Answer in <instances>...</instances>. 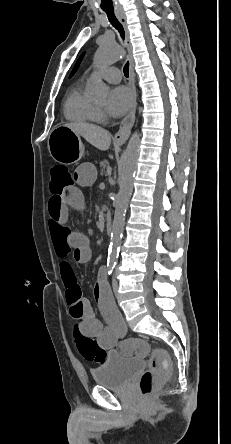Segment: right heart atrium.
I'll list each match as a JSON object with an SVG mask.
<instances>
[{
	"label": "right heart atrium",
	"instance_id": "obj_1",
	"mask_svg": "<svg viewBox=\"0 0 231 444\" xmlns=\"http://www.w3.org/2000/svg\"><path fill=\"white\" fill-rule=\"evenodd\" d=\"M98 118L99 120H104L106 118L104 112L101 109H98Z\"/></svg>",
	"mask_w": 231,
	"mask_h": 444
}]
</instances>
